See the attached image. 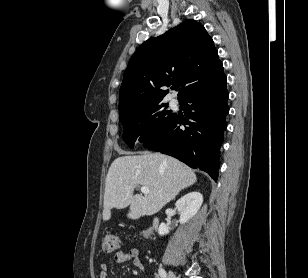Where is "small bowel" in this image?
Masks as SVG:
<instances>
[{
    "label": "small bowel",
    "mask_w": 308,
    "mask_h": 278,
    "mask_svg": "<svg viewBox=\"0 0 308 278\" xmlns=\"http://www.w3.org/2000/svg\"><path fill=\"white\" fill-rule=\"evenodd\" d=\"M113 260L116 263H124L127 261H133L134 266L141 272L144 271L143 264L140 259V251L138 248H131L129 250H119L113 255ZM99 278H110L108 270L109 266L107 263H102L100 266Z\"/></svg>",
    "instance_id": "1"
}]
</instances>
